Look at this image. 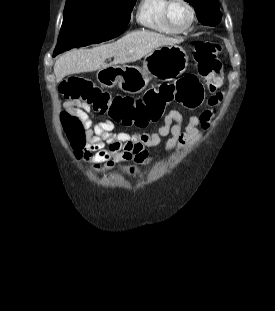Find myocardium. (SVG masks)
<instances>
[{
	"label": "myocardium",
	"mask_w": 275,
	"mask_h": 311,
	"mask_svg": "<svg viewBox=\"0 0 275 311\" xmlns=\"http://www.w3.org/2000/svg\"><path fill=\"white\" fill-rule=\"evenodd\" d=\"M177 0H167V3L164 7V11H163V16H164V20L166 22V24L173 30L175 31L176 33H184V32H187L189 31L192 26L194 25L195 21H196V10L194 8V6L188 1V0H180L182 1L189 9L190 11V21L188 23L187 26L183 27V28H178L176 27L171 19H170V16H169V11H170V8L172 6V4L174 2H176Z\"/></svg>",
	"instance_id": "f54148a6"
}]
</instances>
